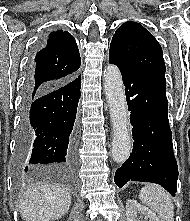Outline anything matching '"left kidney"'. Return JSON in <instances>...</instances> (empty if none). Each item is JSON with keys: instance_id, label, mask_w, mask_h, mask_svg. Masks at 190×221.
<instances>
[{"instance_id": "1", "label": "left kidney", "mask_w": 190, "mask_h": 221, "mask_svg": "<svg viewBox=\"0 0 190 221\" xmlns=\"http://www.w3.org/2000/svg\"><path fill=\"white\" fill-rule=\"evenodd\" d=\"M138 214L145 215L149 221H160L157 215L145 206L140 205L135 200H128L126 202V217L127 221H137Z\"/></svg>"}]
</instances>
